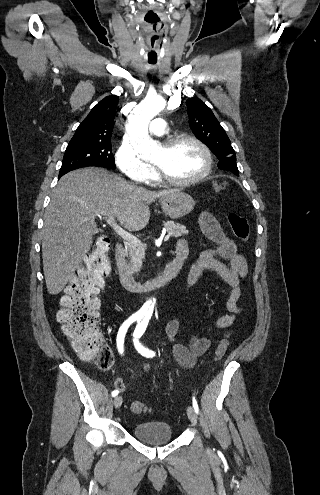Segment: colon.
Here are the masks:
<instances>
[{"label": "colon", "mask_w": 320, "mask_h": 495, "mask_svg": "<svg viewBox=\"0 0 320 495\" xmlns=\"http://www.w3.org/2000/svg\"><path fill=\"white\" fill-rule=\"evenodd\" d=\"M227 187L228 182H220L216 185V192L221 193ZM227 219L234 236L246 242L250 233L247 219L234 212L229 213ZM109 250V240L100 238L95 249L87 256L84 267L66 287L57 313V319L65 335L72 340L74 350L83 357L94 359L102 369L108 368L113 359L111 349L101 344L97 328L100 305L98 294L105 287L112 270ZM227 347L228 336L224 335L215 350L216 360L224 357ZM116 387L122 389V383L118 381ZM130 409L135 414L148 410L140 401L132 402Z\"/></svg>", "instance_id": "1"}]
</instances>
